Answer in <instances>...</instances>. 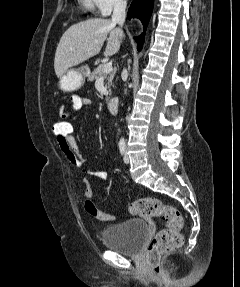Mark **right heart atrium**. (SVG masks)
<instances>
[{"instance_id":"right-heart-atrium-1","label":"right heart atrium","mask_w":240,"mask_h":287,"mask_svg":"<svg viewBox=\"0 0 240 287\" xmlns=\"http://www.w3.org/2000/svg\"><path fill=\"white\" fill-rule=\"evenodd\" d=\"M97 13L107 16L114 10L120 9L125 5V0H94Z\"/></svg>"}]
</instances>
